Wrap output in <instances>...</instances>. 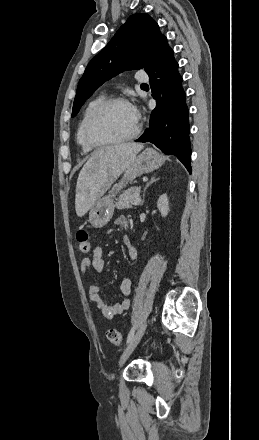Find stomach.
Returning a JSON list of instances; mask_svg holds the SVG:
<instances>
[{
	"instance_id": "0dacf381",
	"label": "stomach",
	"mask_w": 259,
	"mask_h": 440,
	"mask_svg": "<svg viewBox=\"0 0 259 440\" xmlns=\"http://www.w3.org/2000/svg\"><path fill=\"white\" fill-rule=\"evenodd\" d=\"M161 164V157L152 148L145 149L137 155L124 171L121 181L113 187L109 195L98 199L89 212V223L94 228L104 227L114 214V198L117 193L138 176L150 173Z\"/></svg>"
}]
</instances>
